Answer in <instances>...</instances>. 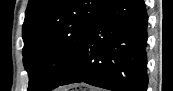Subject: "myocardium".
I'll list each match as a JSON object with an SVG mask.
<instances>
[{
    "instance_id": "1",
    "label": "myocardium",
    "mask_w": 173,
    "mask_h": 91,
    "mask_svg": "<svg viewBox=\"0 0 173 91\" xmlns=\"http://www.w3.org/2000/svg\"><path fill=\"white\" fill-rule=\"evenodd\" d=\"M63 60L59 57H50L46 60L44 64V69L46 73L53 74L56 73L63 67Z\"/></svg>"
}]
</instances>
